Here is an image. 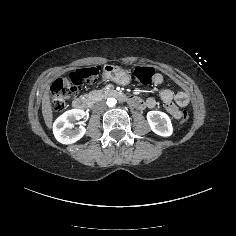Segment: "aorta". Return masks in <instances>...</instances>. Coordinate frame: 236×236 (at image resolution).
Returning a JSON list of instances; mask_svg holds the SVG:
<instances>
[{
    "label": "aorta",
    "mask_w": 236,
    "mask_h": 236,
    "mask_svg": "<svg viewBox=\"0 0 236 236\" xmlns=\"http://www.w3.org/2000/svg\"><path fill=\"white\" fill-rule=\"evenodd\" d=\"M106 104L108 107H114L116 105V100L114 98H108Z\"/></svg>",
    "instance_id": "aorta-1"
}]
</instances>
